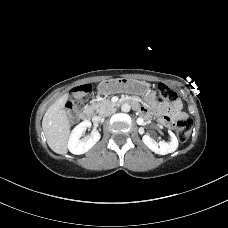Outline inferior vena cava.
Listing matches in <instances>:
<instances>
[{
  "mask_svg": "<svg viewBox=\"0 0 228 228\" xmlns=\"http://www.w3.org/2000/svg\"><path fill=\"white\" fill-rule=\"evenodd\" d=\"M116 112V109L113 107H108L106 109H104L101 113L100 116H110L112 114H114Z\"/></svg>",
  "mask_w": 228,
  "mask_h": 228,
  "instance_id": "obj_1",
  "label": "inferior vena cava"
}]
</instances>
